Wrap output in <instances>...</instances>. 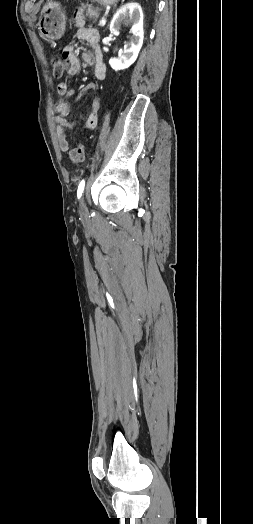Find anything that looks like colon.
<instances>
[{
    "mask_svg": "<svg viewBox=\"0 0 253 524\" xmlns=\"http://www.w3.org/2000/svg\"><path fill=\"white\" fill-rule=\"evenodd\" d=\"M52 73L55 78H60L64 74L65 64L60 56H52L50 59ZM86 154V147L82 143L73 146L68 152V160L72 164L81 163Z\"/></svg>",
    "mask_w": 253,
    "mask_h": 524,
    "instance_id": "5ec220e1",
    "label": "colon"
}]
</instances>
